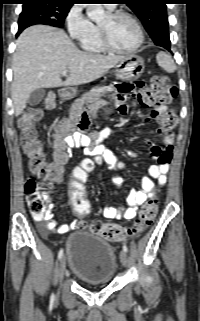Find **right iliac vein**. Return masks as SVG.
<instances>
[{"label":"right iliac vein","mask_w":200,"mask_h":321,"mask_svg":"<svg viewBox=\"0 0 200 321\" xmlns=\"http://www.w3.org/2000/svg\"><path fill=\"white\" fill-rule=\"evenodd\" d=\"M65 269H66V260H65V257H62L60 260L59 269H58V276L60 280H62L64 276Z\"/></svg>","instance_id":"1"}]
</instances>
